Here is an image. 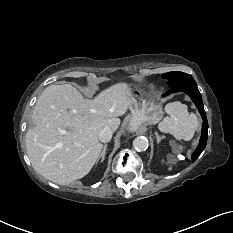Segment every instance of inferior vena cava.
I'll use <instances>...</instances> for the list:
<instances>
[{
  "mask_svg": "<svg viewBox=\"0 0 233 233\" xmlns=\"http://www.w3.org/2000/svg\"><path fill=\"white\" fill-rule=\"evenodd\" d=\"M112 130L108 127H105L99 132V140L103 143H107L112 138Z\"/></svg>",
  "mask_w": 233,
  "mask_h": 233,
  "instance_id": "602c4592",
  "label": "inferior vena cava"
}]
</instances>
